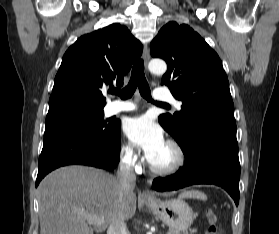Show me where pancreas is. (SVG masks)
I'll return each instance as SVG.
<instances>
[{
  "label": "pancreas",
  "instance_id": "pancreas-1",
  "mask_svg": "<svg viewBox=\"0 0 279 234\" xmlns=\"http://www.w3.org/2000/svg\"><path fill=\"white\" fill-rule=\"evenodd\" d=\"M167 234H177V232L170 231V232H168Z\"/></svg>",
  "mask_w": 279,
  "mask_h": 234
}]
</instances>
